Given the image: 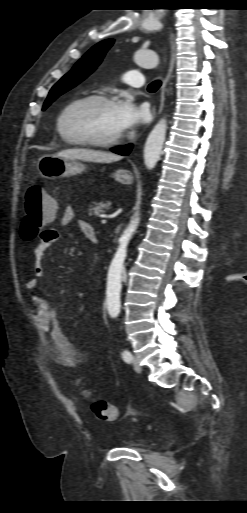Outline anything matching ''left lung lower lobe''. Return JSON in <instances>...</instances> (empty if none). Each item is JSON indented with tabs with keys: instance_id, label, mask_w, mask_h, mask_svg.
Masks as SVG:
<instances>
[{
	"instance_id": "1",
	"label": "left lung lower lobe",
	"mask_w": 247,
	"mask_h": 513,
	"mask_svg": "<svg viewBox=\"0 0 247 513\" xmlns=\"http://www.w3.org/2000/svg\"><path fill=\"white\" fill-rule=\"evenodd\" d=\"M132 144H129V145H126V146H123V147H118V148H114V149H111L112 152L114 153H117V154H120V155H128L132 149Z\"/></svg>"
}]
</instances>
